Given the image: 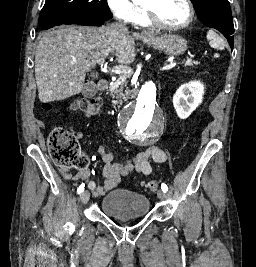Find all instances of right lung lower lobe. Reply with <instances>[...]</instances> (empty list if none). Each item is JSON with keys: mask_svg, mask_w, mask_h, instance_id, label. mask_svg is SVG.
I'll return each instance as SVG.
<instances>
[{"mask_svg": "<svg viewBox=\"0 0 256 267\" xmlns=\"http://www.w3.org/2000/svg\"><path fill=\"white\" fill-rule=\"evenodd\" d=\"M102 22H103L102 20H95V19H69V20L60 21L58 23L48 25L47 29L53 26L61 25V24H79V25L95 26Z\"/></svg>", "mask_w": 256, "mask_h": 267, "instance_id": "98d812e1", "label": "right lung lower lobe"}]
</instances>
